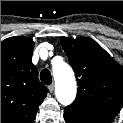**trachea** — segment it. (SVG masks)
I'll list each match as a JSON object with an SVG mask.
<instances>
[{
    "label": "trachea",
    "instance_id": "trachea-1",
    "mask_svg": "<svg viewBox=\"0 0 123 123\" xmlns=\"http://www.w3.org/2000/svg\"><path fill=\"white\" fill-rule=\"evenodd\" d=\"M41 82L45 85H50L52 82L51 72L48 69H44L40 73Z\"/></svg>",
    "mask_w": 123,
    "mask_h": 123
}]
</instances>
